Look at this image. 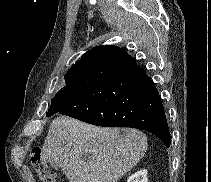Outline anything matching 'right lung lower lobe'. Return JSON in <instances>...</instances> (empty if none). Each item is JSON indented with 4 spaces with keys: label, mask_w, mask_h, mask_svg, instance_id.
<instances>
[{
    "label": "right lung lower lobe",
    "mask_w": 211,
    "mask_h": 182,
    "mask_svg": "<svg viewBox=\"0 0 211 182\" xmlns=\"http://www.w3.org/2000/svg\"><path fill=\"white\" fill-rule=\"evenodd\" d=\"M54 112L103 127L143 129L170 146L156 87L133 58L116 46L91 50L75 88L56 102Z\"/></svg>",
    "instance_id": "obj_1"
}]
</instances>
